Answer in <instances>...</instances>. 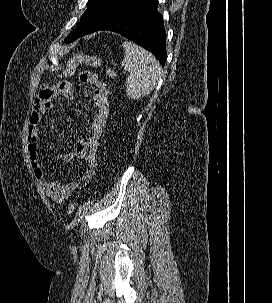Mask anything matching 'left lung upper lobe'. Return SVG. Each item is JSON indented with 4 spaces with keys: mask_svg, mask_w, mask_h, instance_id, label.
I'll return each instance as SVG.
<instances>
[{
    "mask_svg": "<svg viewBox=\"0 0 272 303\" xmlns=\"http://www.w3.org/2000/svg\"><path fill=\"white\" fill-rule=\"evenodd\" d=\"M141 1L142 0H88L87 10L82 15L76 29L66 38V42H73L102 21Z\"/></svg>",
    "mask_w": 272,
    "mask_h": 303,
    "instance_id": "obj_1",
    "label": "left lung upper lobe"
}]
</instances>
